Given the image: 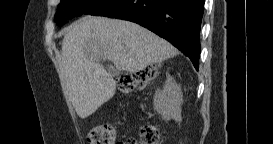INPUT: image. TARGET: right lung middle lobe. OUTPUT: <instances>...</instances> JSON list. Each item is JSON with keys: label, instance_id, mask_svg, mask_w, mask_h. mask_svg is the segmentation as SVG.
<instances>
[{"label": "right lung middle lobe", "instance_id": "dd1d6c3e", "mask_svg": "<svg viewBox=\"0 0 273 144\" xmlns=\"http://www.w3.org/2000/svg\"><path fill=\"white\" fill-rule=\"evenodd\" d=\"M109 0H61L55 14L58 25L82 14H90Z\"/></svg>", "mask_w": 273, "mask_h": 144}]
</instances>
